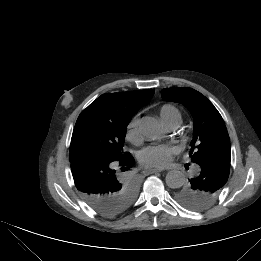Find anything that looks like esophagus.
<instances>
[{
  "instance_id": "34e87169",
  "label": "esophagus",
  "mask_w": 261,
  "mask_h": 261,
  "mask_svg": "<svg viewBox=\"0 0 261 261\" xmlns=\"http://www.w3.org/2000/svg\"><path fill=\"white\" fill-rule=\"evenodd\" d=\"M163 169H158V168H153V169H146L143 171L145 175L153 174V173H158L161 172Z\"/></svg>"
}]
</instances>
